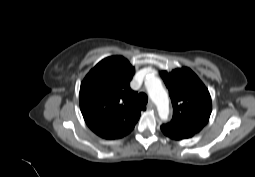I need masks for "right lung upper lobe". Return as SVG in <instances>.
<instances>
[{
  "instance_id": "right-lung-upper-lobe-1",
  "label": "right lung upper lobe",
  "mask_w": 255,
  "mask_h": 177,
  "mask_svg": "<svg viewBox=\"0 0 255 177\" xmlns=\"http://www.w3.org/2000/svg\"><path fill=\"white\" fill-rule=\"evenodd\" d=\"M135 68L122 56L100 61L80 87V109L88 127L105 139L130 133L145 106L136 103L130 88Z\"/></svg>"
}]
</instances>
